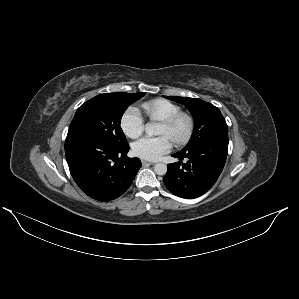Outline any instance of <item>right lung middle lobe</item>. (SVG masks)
<instances>
[{
    "instance_id": "dd1d6c3e",
    "label": "right lung middle lobe",
    "mask_w": 299,
    "mask_h": 299,
    "mask_svg": "<svg viewBox=\"0 0 299 299\" xmlns=\"http://www.w3.org/2000/svg\"><path fill=\"white\" fill-rule=\"evenodd\" d=\"M145 93H106L81 105L69 126L67 137L97 136L115 145L126 144L121 118L127 107Z\"/></svg>"
}]
</instances>
